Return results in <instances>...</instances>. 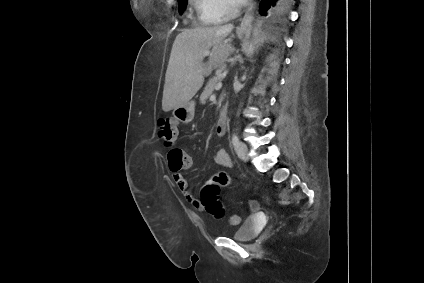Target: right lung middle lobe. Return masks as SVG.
I'll return each instance as SVG.
<instances>
[{
  "label": "right lung middle lobe",
  "mask_w": 424,
  "mask_h": 283,
  "mask_svg": "<svg viewBox=\"0 0 424 283\" xmlns=\"http://www.w3.org/2000/svg\"><path fill=\"white\" fill-rule=\"evenodd\" d=\"M187 5V0H179V12L182 13Z\"/></svg>",
  "instance_id": "right-lung-middle-lobe-1"
}]
</instances>
